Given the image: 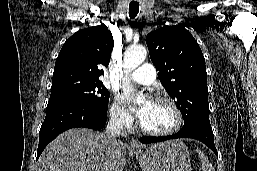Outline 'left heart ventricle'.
<instances>
[{
  "label": "left heart ventricle",
  "mask_w": 257,
  "mask_h": 171,
  "mask_svg": "<svg viewBox=\"0 0 257 171\" xmlns=\"http://www.w3.org/2000/svg\"><path fill=\"white\" fill-rule=\"evenodd\" d=\"M175 120V114L169 105L152 102L140 122L148 129L166 130L174 125Z\"/></svg>",
  "instance_id": "left-heart-ventricle-1"
}]
</instances>
